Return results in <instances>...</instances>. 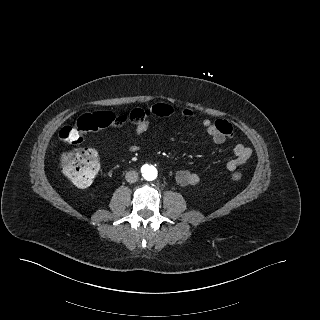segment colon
Wrapping results in <instances>:
<instances>
[{
	"mask_svg": "<svg viewBox=\"0 0 320 320\" xmlns=\"http://www.w3.org/2000/svg\"><path fill=\"white\" fill-rule=\"evenodd\" d=\"M122 120H124L123 116L117 117L110 111L84 114L72 125L61 128L59 137L65 143L77 144L81 142L83 133L106 128ZM60 164L63 172L76 186L85 188L92 184L98 173L99 157L91 148L76 149L63 154ZM241 177L239 172L232 174V179L235 181L240 180Z\"/></svg>",
	"mask_w": 320,
	"mask_h": 320,
	"instance_id": "5ec220e1",
	"label": "colon"
}]
</instances>
